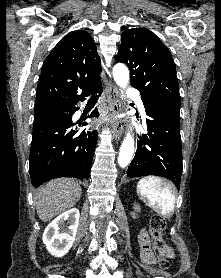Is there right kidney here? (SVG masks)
Segmentation results:
<instances>
[{"label": "right kidney", "mask_w": 221, "mask_h": 278, "mask_svg": "<svg viewBox=\"0 0 221 278\" xmlns=\"http://www.w3.org/2000/svg\"><path fill=\"white\" fill-rule=\"evenodd\" d=\"M79 217V210L72 208L59 215L46 227L42 239L51 255L62 257L68 253L76 237Z\"/></svg>", "instance_id": "1"}]
</instances>
